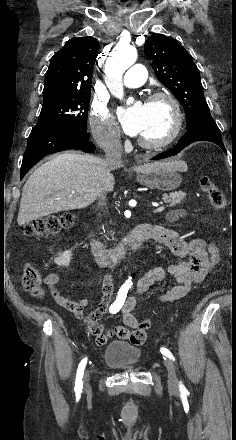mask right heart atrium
Returning <instances> with one entry per match:
<instances>
[{"mask_svg": "<svg viewBox=\"0 0 236 440\" xmlns=\"http://www.w3.org/2000/svg\"><path fill=\"white\" fill-rule=\"evenodd\" d=\"M90 128L96 143L105 150L117 151L119 148V129L108 106L96 101L91 106Z\"/></svg>", "mask_w": 236, "mask_h": 440, "instance_id": "1", "label": "right heart atrium"}]
</instances>
